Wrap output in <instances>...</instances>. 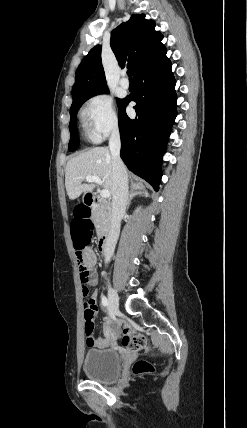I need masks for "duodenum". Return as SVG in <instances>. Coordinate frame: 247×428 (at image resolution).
Listing matches in <instances>:
<instances>
[{"label":"duodenum","mask_w":247,"mask_h":428,"mask_svg":"<svg viewBox=\"0 0 247 428\" xmlns=\"http://www.w3.org/2000/svg\"><path fill=\"white\" fill-rule=\"evenodd\" d=\"M100 203V200L98 199V197H96L93 194H88L86 197V204H88V207H94L97 204ZM111 237L109 234H103L100 236L99 240H98V249L101 253H105L110 244H111Z\"/></svg>","instance_id":"410a0bca"}]
</instances>
